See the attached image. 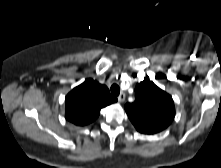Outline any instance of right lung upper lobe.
<instances>
[{"label": "right lung upper lobe", "mask_w": 221, "mask_h": 168, "mask_svg": "<svg viewBox=\"0 0 221 168\" xmlns=\"http://www.w3.org/2000/svg\"><path fill=\"white\" fill-rule=\"evenodd\" d=\"M117 101L105 85L86 79L71 90L65 98V117L78 126L93 122L100 110Z\"/></svg>", "instance_id": "1"}]
</instances>
